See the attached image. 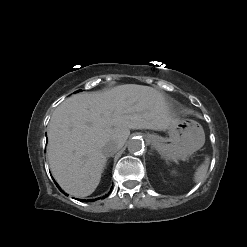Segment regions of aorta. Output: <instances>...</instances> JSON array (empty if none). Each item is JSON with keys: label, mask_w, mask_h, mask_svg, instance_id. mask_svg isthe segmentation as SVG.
I'll return each mask as SVG.
<instances>
[{"label": "aorta", "mask_w": 247, "mask_h": 247, "mask_svg": "<svg viewBox=\"0 0 247 247\" xmlns=\"http://www.w3.org/2000/svg\"><path fill=\"white\" fill-rule=\"evenodd\" d=\"M144 149V141L141 138L134 137L128 142V151L131 154H138Z\"/></svg>", "instance_id": "762f6f07"}]
</instances>
